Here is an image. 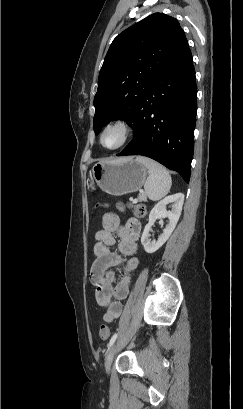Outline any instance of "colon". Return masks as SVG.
<instances>
[{
	"instance_id": "5ec220e1",
	"label": "colon",
	"mask_w": 243,
	"mask_h": 409,
	"mask_svg": "<svg viewBox=\"0 0 243 409\" xmlns=\"http://www.w3.org/2000/svg\"><path fill=\"white\" fill-rule=\"evenodd\" d=\"M105 205L97 204L96 209H100ZM126 208L132 209L134 215L138 218H143L147 214V208L144 204H120L119 209L124 210ZM110 331L107 325H102L99 328V337L102 341H106L109 338Z\"/></svg>"
}]
</instances>
